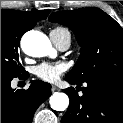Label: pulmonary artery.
<instances>
[{
	"mask_svg": "<svg viewBox=\"0 0 123 123\" xmlns=\"http://www.w3.org/2000/svg\"><path fill=\"white\" fill-rule=\"evenodd\" d=\"M50 39L60 50H67L71 44V36L68 31L52 30Z\"/></svg>",
	"mask_w": 123,
	"mask_h": 123,
	"instance_id": "1",
	"label": "pulmonary artery"
}]
</instances>
